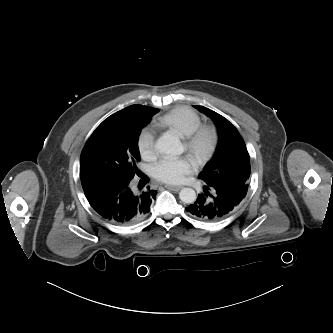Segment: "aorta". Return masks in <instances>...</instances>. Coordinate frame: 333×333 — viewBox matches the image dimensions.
Instances as JSON below:
<instances>
[{"mask_svg": "<svg viewBox=\"0 0 333 333\" xmlns=\"http://www.w3.org/2000/svg\"><path fill=\"white\" fill-rule=\"evenodd\" d=\"M156 148L164 154L180 155L184 151L181 141L174 136H162L156 142ZM179 198L186 204H192L196 200V192L192 188H183L179 193Z\"/></svg>", "mask_w": 333, "mask_h": 333, "instance_id": "762f6f07", "label": "aorta"}]
</instances>
